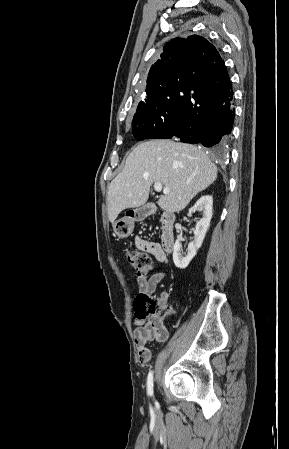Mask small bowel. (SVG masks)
<instances>
[{
	"label": "small bowel",
	"mask_w": 289,
	"mask_h": 449,
	"mask_svg": "<svg viewBox=\"0 0 289 449\" xmlns=\"http://www.w3.org/2000/svg\"><path fill=\"white\" fill-rule=\"evenodd\" d=\"M135 245L138 249L152 254L159 262L165 263L167 257L161 245L157 242L149 241L141 237L135 238ZM166 273L157 271L151 274H142L137 277L138 295L146 294L151 296L157 286L164 280ZM134 325L137 326L134 332L135 345L140 360L146 362L150 359L151 353L148 344L153 341H164L168 337L166 329L156 327L150 320H145L137 313L133 319Z\"/></svg>",
	"instance_id": "1"
}]
</instances>
